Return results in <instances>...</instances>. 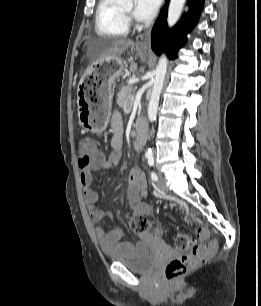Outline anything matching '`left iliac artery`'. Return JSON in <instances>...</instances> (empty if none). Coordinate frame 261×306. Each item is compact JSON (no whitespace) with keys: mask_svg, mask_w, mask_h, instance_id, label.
<instances>
[{"mask_svg":"<svg viewBox=\"0 0 261 306\" xmlns=\"http://www.w3.org/2000/svg\"><path fill=\"white\" fill-rule=\"evenodd\" d=\"M148 164H149L150 167L154 165V159L152 157H150L148 159ZM150 175H151V179L153 181H157L158 180V176H157V174L155 172H151Z\"/></svg>","mask_w":261,"mask_h":306,"instance_id":"44dca946","label":"left iliac artery"}]
</instances>
